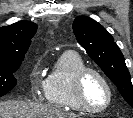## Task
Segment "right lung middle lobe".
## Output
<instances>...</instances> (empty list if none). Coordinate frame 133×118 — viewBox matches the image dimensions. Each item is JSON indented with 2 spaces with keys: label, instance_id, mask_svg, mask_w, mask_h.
I'll return each instance as SVG.
<instances>
[{
  "label": "right lung middle lobe",
  "instance_id": "1",
  "mask_svg": "<svg viewBox=\"0 0 133 118\" xmlns=\"http://www.w3.org/2000/svg\"><path fill=\"white\" fill-rule=\"evenodd\" d=\"M21 62L0 63V97L16 86L17 80L13 73L17 71Z\"/></svg>",
  "mask_w": 133,
  "mask_h": 118
}]
</instances>
